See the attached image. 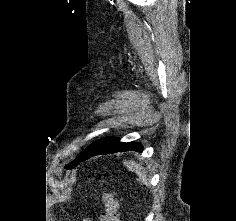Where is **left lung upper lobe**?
Here are the masks:
<instances>
[{
	"mask_svg": "<svg viewBox=\"0 0 236 221\" xmlns=\"http://www.w3.org/2000/svg\"><path fill=\"white\" fill-rule=\"evenodd\" d=\"M76 162H77V158L73 162H71L70 164L66 165L65 168L66 169L74 168L76 166Z\"/></svg>",
	"mask_w": 236,
	"mask_h": 221,
	"instance_id": "obj_1",
	"label": "left lung upper lobe"
}]
</instances>
